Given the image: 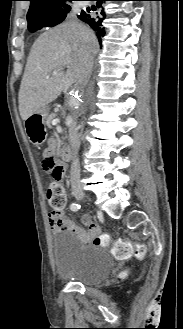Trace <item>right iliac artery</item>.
<instances>
[{
  "label": "right iliac artery",
  "mask_w": 183,
  "mask_h": 329,
  "mask_svg": "<svg viewBox=\"0 0 183 329\" xmlns=\"http://www.w3.org/2000/svg\"><path fill=\"white\" fill-rule=\"evenodd\" d=\"M80 205L79 204H77V203H72L71 205H70V209L72 210V211H78L79 209H80Z\"/></svg>",
  "instance_id": "obj_1"
}]
</instances>
